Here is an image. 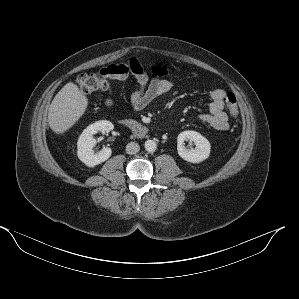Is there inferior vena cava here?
<instances>
[{
    "label": "inferior vena cava",
    "instance_id": "602c4592",
    "mask_svg": "<svg viewBox=\"0 0 299 299\" xmlns=\"http://www.w3.org/2000/svg\"><path fill=\"white\" fill-rule=\"evenodd\" d=\"M139 150H140V146L136 142H130L126 146V152L131 155L136 154L137 152H139Z\"/></svg>",
    "mask_w": 299,
    "mask_h": 299
}]
</instances>
